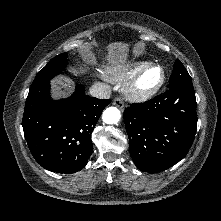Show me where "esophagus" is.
I'll return each instance as SVG.
<instances>
[{"label":"esophagus","instance_id":"34e87169","mask_svg":"<svg viewBox=\"0 0 221 221\" xmlns=\"http://www.w3.org/2000/svg\"><path fill=\"white\" fill-rule=\"evenodd\" d=\"M113 105H115L116 107H118L120 110L124 109V102L122 100V98L120 97H116L113 101Z\"/></svg>","mask_w":221,"mask_h":221}]
</instances>
